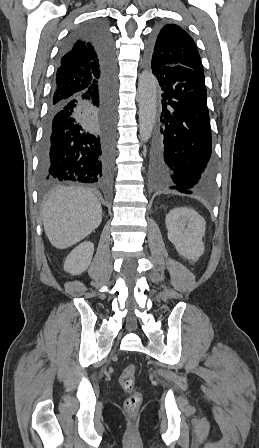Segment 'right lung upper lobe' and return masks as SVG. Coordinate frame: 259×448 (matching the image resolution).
<instances>
[{
    "label": "right lung upper lobe",
    "instance_id": "obj_1",
    "mask_svg": "<svg viewBox=\"0 0 259 448\" xmlns=\"http://www.w3.org/2000/svg\"><path fill=\"white\" fill-rule=\"evenodd\" d=\"M97 58L90 43L77 40L59 63L53 82L52 101L95 89L102 76Z\"/></svg>",
    "mask_w": 259,
    "mask_h": 448
}]
</instances>
